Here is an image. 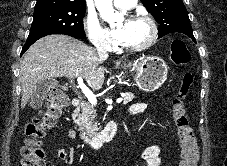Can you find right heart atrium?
Listing matches in <instances>:
<instances>
[{
	"label": "right heart atrium",
	"mask_w": 227,
	"mask_h": 166,
	"mask_svg": "<svg viewBox=\"0 0 227 166\" xmlns=\"http://www.w3.org/2000/svg\"><path fill=\"white\" fill-rule=\"evenodd\" d=\"M83 27L93 46L97 48H108L110 46V39L96 16L87 14L83 21Z\"/></svg>",
	"instance_id": "obj_1"
}]
</instances>
